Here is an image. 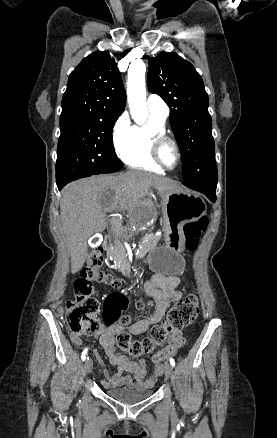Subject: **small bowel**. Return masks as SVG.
<instances>
[{
    "mask_svg": "<svg viewBox=\"0 0 277 438\" xmlns=\"http://www.w3.org/2000/svg\"><path fill=\"white\" fill-rule=\"evenodd\" d=\"M179 284L180 278L177 275L154 274L144 286L145 293L155 302L153 314L134 322L128 327L120 325L103 327L96 334L111 364L116 367V372L112 374L111 369H106V366H103V369H106V379L103 382L105 387L128 386L139 390H146L156 384L158 378L164 372L163 362L174 354L177 346L176 343L181 338V333L176 331L170 335V344L161 351L164 354L162 362L154 363L153 374L151 376H147L146 360L131 361L124 354L117 351L115 335L124 330L133 335H139L146 332L152 324L160 322L172 304L181 299L182 293L178 290ZM70 338L76 346H82L84 343L82 334L71 333ZM93 353H96V350H93Z\"/></svg>",
    "mask_w": 277,
    "mask_h": 438,
    "instance_id": "c3829d8e",
    "label": "small bowel"
}]
</instances>
